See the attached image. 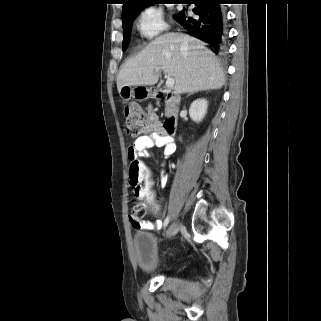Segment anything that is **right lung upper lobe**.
I'll return each mask as SVG.
<instances>
[{
  "label": "right lung upper lobe",
  "instance_id": "obj_1",
  "mask_svg": "<svg viewBox=\"0 0 321 321\" xmlns=\"http://www.w3.org/2000/svg\"><path fill=\"white\" fill-rule=\"evenodd\" d=\"M165 0H123L122 16L140 11L148 4H154Z\"/></svg>",
  "mask_w": 321,
  "mask_h": 321
}]
</instances>
